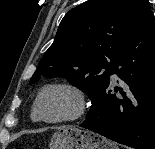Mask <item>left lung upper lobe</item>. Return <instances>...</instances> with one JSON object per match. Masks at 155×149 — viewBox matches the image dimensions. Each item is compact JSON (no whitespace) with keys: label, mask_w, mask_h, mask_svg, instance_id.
<instances>
[{"label":"left lung upper lobe","mask_w":155,"mask_h":149,"mask_svg":"<svg viewBox=\"0 0 155 149\" xmlns=\"http://www.w3.org/2000/svg\"><path fill=\"white\" fill-rule=\"evenodd\" d=\"M151 11L148 0H88L62 19L30 79L66 78L93 99L110 81L114 61Z\"/></svg>","instance_id":"5c2ea615"}]
</instances>
